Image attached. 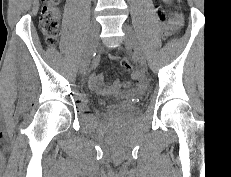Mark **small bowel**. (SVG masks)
<instances>
[{
    "instance_id": "obj_1",
    "label": "small bowel",
    "mask_w": 231,
    "mask_h": 177,
    "mask_svg": "<svg viewBox=\"0 0 231 177\" xmlns=\"http://www.w3.org/2000/svg\"><path fill=\"white\" fill-rule=\"evenodd\" d=\"M176 25V22L174 20L170 21L163 27V33L165 35L169 34L172 30L173 27ZM111 59H116V56H110ZM133 76L135 78L138 77V73L134 72ZM89 86L90 88L102 95L110 94L113 93L117 90H119L122 87L130 88V84L128 82H122L120 80H115L112 83H106L104 80V75L100 72H94L91 74L89 77ZM144 90V85L139 84L136 88V92H141Z\"/></svg>"
}]
</instances>
